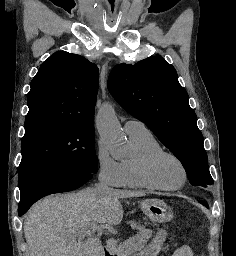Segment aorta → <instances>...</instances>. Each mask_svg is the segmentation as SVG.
Instances as JSON below:
<instances>
[{
    "label": "aorta",
    "mask_w": 236,
    "mask_h": 256,
    "mask_svg": "<svg viewBox=\"0 0 236 256\" xmlns=\"http://www.w3.org/2000/svg\"><path fill=\"white\" fill-rule=\"evenodd\" d=\"M96 126L101 139L110 146L121 145L124 142V133L116 117L115 110L110 103H105L99 110Z\"/></svg>",
    "instance_id": "1"
}]
</instances>
